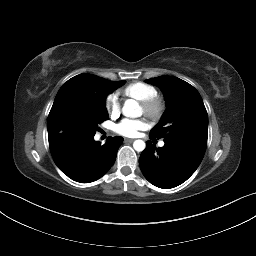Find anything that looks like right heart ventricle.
Instances as JSON below:
<instances>
[{
	"instance_id": "1",
	"label": "right heart ventricle",
	"mask_w": 256,
	"mask_h": 256,
	"mask_svg": "<svg viewBox=\"0 0 256 256\" xmlns=\"http://www.w3.org/2000/svg\"><path fill=\"white\" fill-rule=\"evenodd\" d=\"M121 94L127 98L135 99L139 102L157 95L154 86L144 82H134L121 90Z\"/></svg>"
}]
</instances>
